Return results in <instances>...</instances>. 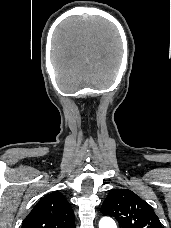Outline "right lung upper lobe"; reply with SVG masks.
<instances>
[{"instance_id": "1", "label": "right lung upper lobe", "mask_w": 171, "mask_h": 228, "mask_svg": "<svg viewBox=\"0 0 171 228\" xmlns=\"http://www.w3.org/2000/svg\"><path fill=\"white\" fill-rule=\"evenodd\" d=\"M22 228H75L74 212L64 196L54 191L35 205Z\"/></svg>"}]
</instances>
